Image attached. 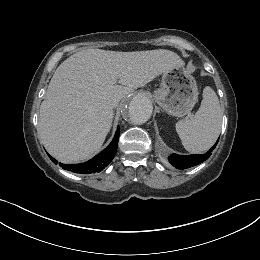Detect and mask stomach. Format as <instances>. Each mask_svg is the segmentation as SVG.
I'll return each instance as SVG.
<instances>
[{
  "label": "stomach",
  "instance_id": "1",
  "mask_svg": "<svg viewBox=\"0 0 260 260\" xmlns=\"http://www.w3.org/2000/svg\"><path fill=\"white\" fill-rule=\"evenodd\" d=\"M163 73L160 88L154 91L157 104L169 115L182 117L189 114L198 100L195 79L182 75L179 68Z\"/></svg>",
  "mask_w": 260,
  "mask_h": 260
}]
</instances>
